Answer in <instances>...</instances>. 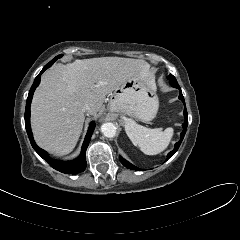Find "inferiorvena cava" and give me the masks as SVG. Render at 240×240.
Here are the masks:
<instances>
[{
	"label": "inferior vena cava",
	"instance_id": "1",
	"mask_svg": "<svg viewBox=\"0 0 240 240\" xmlns=\"http://www.w3.org/2000/svg\"><path fill=\"white\" fill-rule=\"evenodd\" d=\"M90 105L89 104H85L84 106H83V108H82V110H83V112H88V111H90Z\"/></svg>",
	"mask_w": 240,
	"mask_h": 240
}]
</instances>
